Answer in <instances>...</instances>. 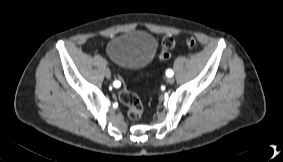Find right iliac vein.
Instances as JSON below:
<instances>
[{"instance_id":"obj_1","label":"right iliac vein","mask_w":283,"mask_h":162,"mask_svg":"<svg viewBox=\"0 0 283 162\" xmlns=\"http://www.w3.org/2000/svg\"><path fill=\"white\" fill-rule=\"evenodd\" d=\"M105 76H106V78L107 79H110L111 78V72H110V70L109 69H105Z\"/></svg>"}]
</instances>
